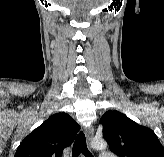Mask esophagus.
Returning <instances> with one entry per match:
<instances>
[{"mask_svg":"<svg viewBox=\"0 0 164 157\" xmlns=\"http://www.w3.org/2000/svg\"><path fill=\"white\" fill-rule=\"evenodd\" d=\"M86 137L88 141H91L94 136V129L93 127L86 128L85 130Z\"/></svg>","mask_w":164,"mask_h":157,"instance_id":"esophagus-1","label":"esophagus"}]
</instances>
